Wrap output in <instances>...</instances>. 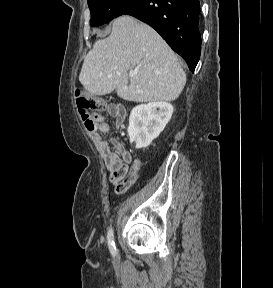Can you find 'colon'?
Segmentation results:
<instances>
[{
	"label": "colon",
	"instance_id": "5ec220e1",
	"mask_svg": "<svg viewBox=\"0 0 273 288\" xmlns=\"http://www.w3.org/2000/svg\"><path fill=\"white\" fill-rule=\"evenodd\" d=\"M78 112L88 131L93 132L97 127L96 116L98 112L105 109L102 99L86 95L83 91L77 90L75 93Z\"/></svg>",
	"mask_w": 273,
	"mask_h": 288
}]
</instances>
